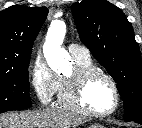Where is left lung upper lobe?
Instances as JSON below:
<instances>
[{"mask_svg": "<svg viewBox=\"0 0 142 128\" xmlns=\"http://www.w3.org/2000/svg\"><path fill=\"white\" fill-rule=\"evenodd\" d=\"M81 41L117 83L124 119L142 124V59L131 23L106 0L72 5Z\"/></svg>", "mask_w": 142, "mask_h": 128, "instance_id": "obj_1", "label": "left lung upper lobe"}]
</instances>
